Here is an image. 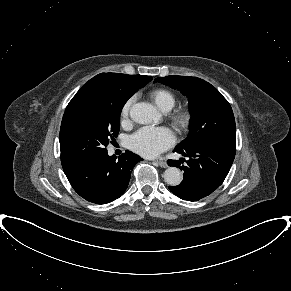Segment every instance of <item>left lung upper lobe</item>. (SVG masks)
<instances>
[{
	"label": "left lung upper lobe",
	"mask_w": 291,
	"mask_h": 291,
	"mask_svg": "<svg viewBox=\"0 0 291 291\" xmlns=\"http://www.w3.org/2000/svg\"><path fill=\"white\" fill-rule=\"evenodd\" d=\"M188 97L191 111L188 137L177 147L195 146L217 138H235V119L228 101L210 83L189 76L156 78Z\"/></svg>",
	"instance_id": "obj_1"
}]
</instances>
